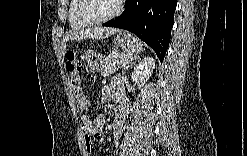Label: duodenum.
Listing matches in <instances>:
<instances>
[{
	"label": "duodenum",
	"mask_w": 247,
	"mask_h": 156,
	"mask_svg": "<svg viewBox=\"0 0 247 156\" xmlns=\"http://www.w3.org/2000/svg\"><path fill=\"white\" fill-rule=\"evenodd\" d=\"M122 110L121 109H119V110H117V112H116V118L117 119H119V118H121L122 117Z\"/></svg>",
	"instance_id": "410a0bca"
}]
</instances>
